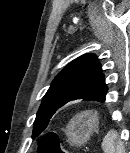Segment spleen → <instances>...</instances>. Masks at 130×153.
<instances>
[{"label":"spleen","mask_w":130,"mask_h":153,"mask_svg":"<svg viewBox=\"0 0 130 153\" xmlns=\"http://www.w3.org/2000/svg\"><path fill=\"white\" fill-rule=\"evenodd\" d=\"M104 153H125L123 143L120 141L116 130H110L102 142Z\"/></svg>","instance_id":"1"}]
</instances>
